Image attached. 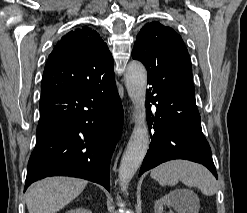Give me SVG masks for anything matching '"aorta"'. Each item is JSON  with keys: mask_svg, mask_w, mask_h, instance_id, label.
<instances>
[{"mask_svg": "<svg viewBox=\"0 0 247 213\" xmlns=\"http://www.w3.org/2000/svg\"><path fill=\"white\" fill-rule=\"evenodd\" d=\"M124 80L128 95L137 109V123L119 166V178L121 182L125 183L122 188L123 191L126 190V185L140 167L149 145L148 127L145 119L147 72L144 65L139 61H131L127 66Z\"/></svg>", "mask_w": 247, "mask_h": 213, "instance_id": "1", "label": "aorta"}]
</instances>
